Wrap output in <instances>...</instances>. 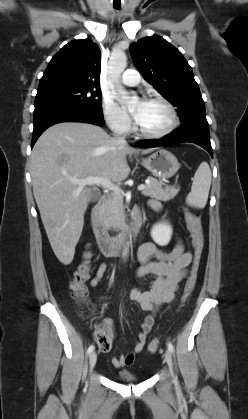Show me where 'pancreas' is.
Here are the masks:
<instances>
[{"mask_svg":"<svg viewBox=\"0 0 248 419\" xmlns=\"http://www.w3.org/2000/svg\"><path fill=\"white\" fill-rule=\"evenodd\" d=\"M149 184L145 185L142 194L161 201H169L173 199L179 192V186L164 185L161 181L151 176L148 177ZM164 185V187H163ZM104 223L108 227L121 229L125 224V213L123 206V198L121 195L114 194L108 197L104 205Z\"/></svg>","mask_w":248,"mask_h":419,"instance_id":"1","label":"pancreas"}]
</instances>
